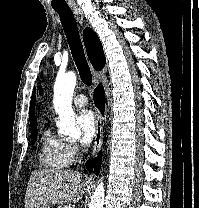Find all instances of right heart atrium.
Masks as SVG:
<instances>
[{"instance_id": "obj_1", "label": "right heart atrium", "mask_w": 199, "mask_h": 208, "mask_svg": "<svg viewBox=\"0 0 199 208\" xmlns=\"http://www.w3.org/2000/svg\"><path fill=\"white\" fill-rule=\"evenodd\" d=\"M66 152L69 158V163H73L79 156L80 149L75 143H66Z\"/></svg>"}]
</instances>
